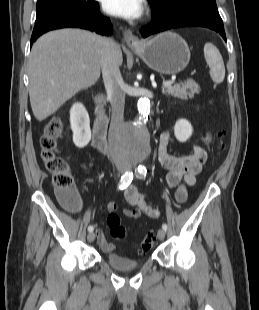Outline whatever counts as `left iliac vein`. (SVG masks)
Wrapping results in <instances>:
<instances>
[{
	"label": "left iliac vein",
	"instance_id": "left-iliac-vein-1",
	"mask_svg": "<svg viewBox=\"0 0 259 310\" xmlns=\"http://www.w3.org/2000/svg\"><path fill=\"white\" fill-rule=\"evenodd\" d=\"M128 170H130V167H128ZM157 237L160 241H163L165 239V230L159 229L157 232Z\"/></svg>",
	"mask_w": 259,
	"mask_h": 310
}]
</instances>
